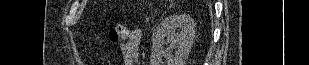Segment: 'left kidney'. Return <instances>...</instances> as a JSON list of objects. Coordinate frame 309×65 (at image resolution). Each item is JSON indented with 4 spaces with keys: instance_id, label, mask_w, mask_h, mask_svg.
I'll return each mask as SVG.
<instances>
[{
    "instance_id": "1",
    "label": "left kidney",
    "mask_w": 309,
    "mask_h": 65,
    "mask_svg": "<svg viewBox=\"0 0 309 65\" xmlns=\"http://www.w3.org/2000/svg\"><path fill=\"white\" fill-rule=\"evenodd\" d=\"M194 37L195 23L189 15H173L165 18L152 36L150 65H185ZM165 39L170 43L167 50L163 49ZM173 48H177L175 56L169 52Z\"/></svg>"
}]
</instances>
